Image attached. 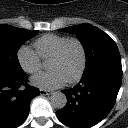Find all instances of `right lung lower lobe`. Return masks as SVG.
I'll return each instance as SVG.
<instances>
[{"mask_svg": "<svg viewBox=\"0 0 128 128\" xmlns=\"http://www.w3.org/2000/svg\"><path fill=\"white\" fill-rule=\"evenodd\" d=\"M27 81L24 71L0 73V128H16L27 118L31 100L40 94Z\"/></svg>", "mask_w": 128, "mask_h": 128, "instance_id": "right-lung-lower-lobe-1", "label": "right lung lower lobe"}]
</instances>
